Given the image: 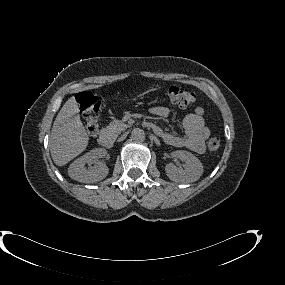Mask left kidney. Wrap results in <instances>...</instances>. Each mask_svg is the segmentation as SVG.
<instances>
[{"label":"left kidney","instance_id":"1","mask_svg":"<svg viewBox=\"0 0 285 285\" xmlns=\"http://www.w3.org/2000/svg\"><path fill=\"white\" fill-rule=\"evenodd\" d=\"M171 155L174 159H180L184 162V168L176 167L173 164L166 165V174L172 181L190 183L197 181L203 174L201 161L191 152L177 150Z\"/></svg>","mask_w":285,"mask_h":285}]
</instances>
